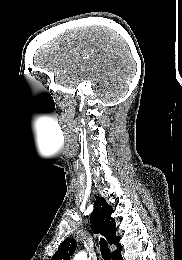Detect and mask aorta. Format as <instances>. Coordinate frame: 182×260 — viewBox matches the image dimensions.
I'll use <instances>...</instances> for the list:
<instances>
[{"instance_id":"obj_1","label":"aorta","mask_w":182,"mask_h":260,"mask_svg":"<svg viewBox=\"0 0 182 260\" xmlns=\"http://www.w3.org/2000/svg\"><path fill=\"white\" fill-rule=\"evenodd\" d=\"M73 260H88L87 254L84 251L79 252L74 256Z\"/></svg>"}]
</instances>
